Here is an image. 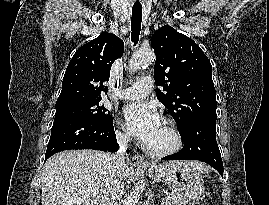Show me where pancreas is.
Instances as JSON below:
<instances>
[{
  "mask_svg": "<svg viewBox=\"0 0 269 205\" xmlns=\"http://www.w3.org/2000/svg\"><path fill=\"white\" fill-rule=\"evenodd\" d=\"M162 205H183V203L181 204L174 195H170L162 200Z\"/></svg>",
  "mask_w": 269,
  "mask_h": 205,
  "instance_id": "pancreas-1",
  "label": "pancreas"
}]
</instances>
